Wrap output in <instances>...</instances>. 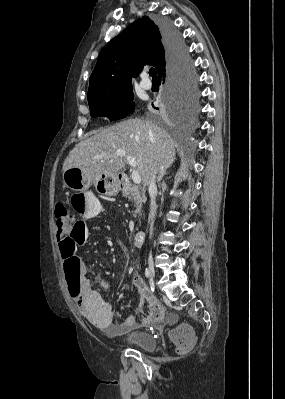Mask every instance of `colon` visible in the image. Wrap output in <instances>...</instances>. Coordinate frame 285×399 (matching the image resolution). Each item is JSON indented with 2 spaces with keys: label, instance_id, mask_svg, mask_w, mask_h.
Segmentation results:
<instances>
[{
  "label": "colon",
  "instance_id": "5ec220e1",
  "mask_svg": "<svg viewBox=\"0 0 285 399\" xmlns=\"http://www.w3.org/2000/svg\"><path fill=\"white\" fill-rule=\"evenodd\" d=\"M88 194H76L71 197V206L75 211L83 210L87 202ZM56 226L62 233L60 240L61 257L64 261L65 276L71 294H77L79 283L77 274L70 269V263L76 258V250L88 238V232L84 226L75 220V216L65 206H60L56 212ZM177 351L184 353L189 351L195 337L189 328H182L171 333Z\"/></svg>",
  "mask_w": 285,
  "mask_h": 399
}]
</instances>
